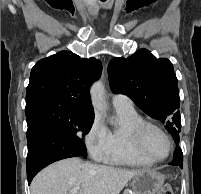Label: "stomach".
<instances>
[{"label": "stomach", "instance_id": "obj_1", "mask_svg": "<svg viewBox=\"0 0 201 194\" xmlns=\"http://www.w3.org/2000/svg\"><path fill=\"white\" fill-rule=\"evenodd\" d=\"M164 183V177L157 171L146 169L135 175L131 181L133 194H156Z\"/></svg>", "mask_w": 201, "mask_h": 194}]
</instances>
